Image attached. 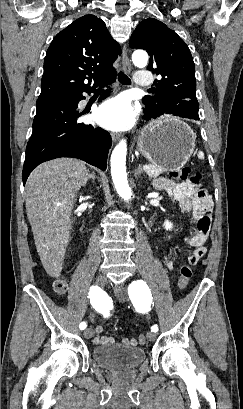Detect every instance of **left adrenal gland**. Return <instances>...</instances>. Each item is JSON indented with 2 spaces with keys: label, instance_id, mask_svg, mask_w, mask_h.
<instances>
[{
  "label": "left adrenal gland",
  "instance_id": "1",
  "mask_svg": "<svg viewBox=\"0 0 243 409\" xmlns=\"http://www.w3.org/2000/svg\"><path fill=\"white\" fill-rule=\"evenodd\" d=\"M143 173L141 165L138 166V168L135 170V177L139 176L140 174Z\"/></svg>",
  "mask_w": 243,
  "mask_h": 409
}]
</instances>
